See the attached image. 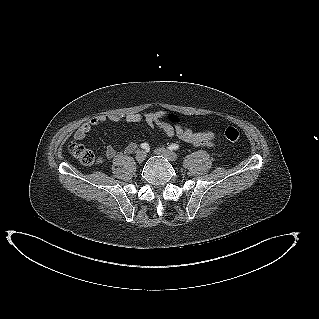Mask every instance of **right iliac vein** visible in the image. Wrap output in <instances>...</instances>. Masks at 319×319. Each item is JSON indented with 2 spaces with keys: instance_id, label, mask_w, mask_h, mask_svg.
Instances as JSON below:
<instances>
[{
  "instance_id": "right-iliac-vein-1",
  "label": "right iliac vein",
  "mask_w": 319,
  "mask_h": 319,
  "mask_svg": "<svg viewBox=\"0 0 319 319\" xmlns=\"http://www.w3.org/2000/svg\"><path fill=\"white\" fill-rule=\"evenodd\" d=\"M146 152L145 151H143V150H141V151H138L137 153H136V160L139 162V163H141V162H143L145 159H146Z\"/></svg>"
}]
</instances>
